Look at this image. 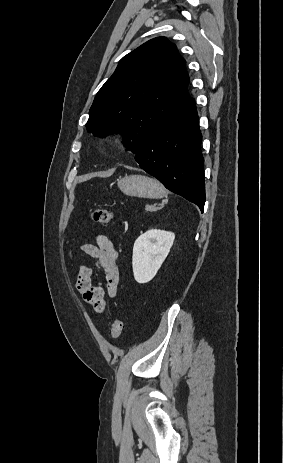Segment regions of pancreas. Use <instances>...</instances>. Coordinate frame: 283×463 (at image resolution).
Segmentation results:
<instances>
[{"label":"pancreas","instance_id":"pancreas-1","mask_svg":"<svg viewBox=\"0 0 283 463\" xmlns=\"http://www.w3.org/2000/svg\"><path fill=\"white\" fill-rule=\"evenodd\" d=\"M145 210H146V211L153 212V211H156L157 208H156L155 206L146 205Z\"/></svg>","mask_w":283,"mask_h":463}]
</instances>
